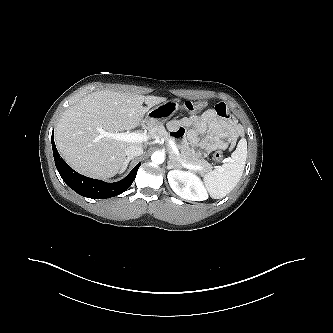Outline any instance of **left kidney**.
Listing matches in <instances>:
<instances>
[{"label":"left kidney","instance_id":"5707ae66","mask_svg":"<svg viewBox=\"0 0 333 333\" xmlns=\"http://www.w3.org/2000/svg\"><path fill=\"white\" fill-rule=\"evenodd\" d=\"M172 190L180 197L192 200L203 201L208 199V193L201 179L189 171L173 170L167 175Z\"/></svg>","mask_w":333,"mask_h":333}]
</instances>
